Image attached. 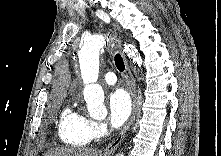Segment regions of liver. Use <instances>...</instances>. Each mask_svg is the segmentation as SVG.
Masks as SVG:
<instances>
[{
	"label": "liver",
	"mask_w": 221,
	"mask_h": 156,
	"mask_svg": "<svg viewBox=\"0 0 221 156\" xmlns=\"http://www.w3.org/2000/svg\"><path fill=\"white\" fill-rule=\"evenodd\" d=\"M44 156H98L96 149L62 147L47 151Z\"/></svg>",
	"instance_id": "1"
}]
</instances>
